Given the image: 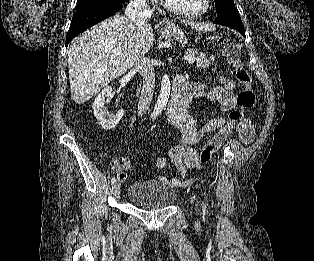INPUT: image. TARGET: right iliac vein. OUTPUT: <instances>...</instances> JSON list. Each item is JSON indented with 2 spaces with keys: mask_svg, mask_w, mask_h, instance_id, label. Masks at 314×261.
Returning <instances> with one entry per match:
<instances>
[{
  "mask_svg": "<svg viewBox=\"0 0 314 261\" xmlns=\"http://www.w3.org/2000/svg\"><path fill=\"white\" fill-rule=\"evenodd\" d=\"M112 194L115 198H118L120 195V185L115 183L112 187Z\"/></svg>",
  "mask_w": 314,
  "mask_h": 261,
  "instance_id": "63e3f726",
  "label": "right iliac vein"
}]
</instances>
